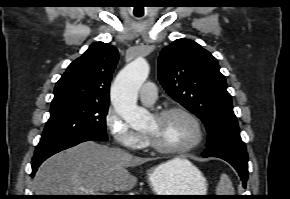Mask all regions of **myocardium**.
<instances>
[{
	"label": "myocardium",
	"instance_id": "myocardium-1",
	"mask_svg": "<svg viewBox=\"0 0 290 199\" xmlns=\"http://www.w3.org/2000/svg\"><path fill=\"white\" fill-rule=\"evenodd\" d=\"M172 114H181L188 118L195 126L196 139L188 146L182 148H168L159 144L151 135L145 133V137L149 147L161 154L177 156L185 155L196 150L205 139V131L198 117L186 108L175 106L161 109L154 113V117L161 120Z\"/></svg>",
	"mask_w": 290,
	"mask_h": 199
}]
</instances>
